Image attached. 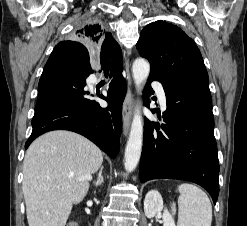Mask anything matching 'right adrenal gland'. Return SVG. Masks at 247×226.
<instances>
[{
  "label": "right adrenal gland",
  "mask_w": 247,
  "mask_h": 226,
  "mask_svg": "<svg viewBox=\"0 0 247 226\" xmlns=\"http://www.w3.org/2000/svg\"><path fill=\"white\" fill-rule=\"evenodd\" d=\"M96 187L101 186L104 183L103 178V166L100 167V171L98 173L97 180L93 182Z\"/></svg>",
  "instance_id": "2a0ac1e0"
}]
</instances>
